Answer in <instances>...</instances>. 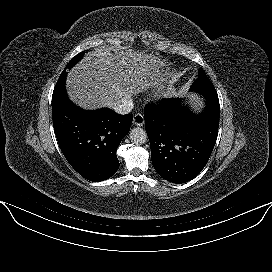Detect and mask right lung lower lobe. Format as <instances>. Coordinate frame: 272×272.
<instances>
[{
  "instance_id": "obj_1",
  "label": "right lung lower lobe",
  "mask_w": 272,
  "mask_h": 272,
  "mask_svg": "<svg viewBox=\"0 0 272 272\" xmlns=\"http://www.w3.org/2000/svg\"><path fill=\"white\" fill-rule=\"evenodd\" d=\"M52 115L60 149L82 177L99 182L118 170L116 151L130 130L132 114L82 110L68 99L64 86L52 95Z\"/></svg>"
}]
</instances>
